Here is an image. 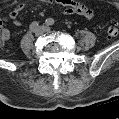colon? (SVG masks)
I'll return each mask as SVG.
<instances>
[{
    "mask_svg": "<svg viewBox=\"0 0 119 119\" xmlns=\"http://www.w3.org/2000/svg\"><path fill=\"white\" fill-rule=\"evenodd\" d=\"M119 32V27L117 22L111 21L108 29H107V35L109 38H114L118 35ZM2 39V32L0 31V40Z\"/></svg>",
    "mask_w": 119,
    "mask_h": 119,
    "instance_id": "colon-1",
    "label": "colon"
}]
</instances>
